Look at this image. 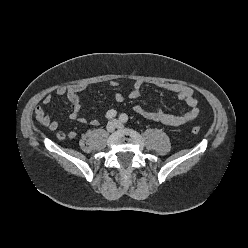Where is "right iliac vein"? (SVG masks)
Returning a JSON list of instances; mask_svg holds the SVG:
<instances>
[{
  "mask_svg": "<svg viewBox=\"0 0 248 248\" xmlns=\"http://www.w3.org/2000/svg\"><path fill=\"white\" fill-rule=\"evenodd\" d=\"M117 127V123L115 121H111L107 124L106 129L108 132H113Z\"/></svg>",
  "mask_w": 248,
  "mask_h": 248,
  "instance_id": "right-iliac-vein-1",
  "label": "right iliac vein"
}]
</instances>
